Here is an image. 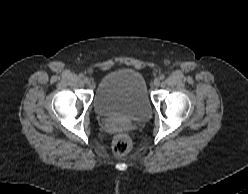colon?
Masks as SVG:
<instances>
[{
  "label": "colon",
  "instance_id": "1",
  "mask_svg": "<svg viewBox=\"0 0 248 194\" xmlns=\"http://www.w3.org/2000/svg\"><path fill=\"white\" fill-rule=\"evenodd\" d=\"M113 152L118 156H125L132 150V141L125 134L117 135L112 144Z\"/></svg>",
  "mask_w": 248,
  "mask_h": 194
}]
</instances>
